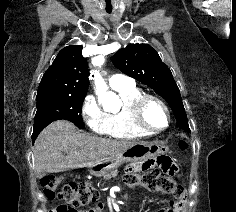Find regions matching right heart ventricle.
Segmentation results:
<instances>
[{"instance_id":"1","label":"right heart ventricle","mask_w":236,"mask_h":212,"mask_svg":"<svg viewBox=\"0 0 236 212\" xmlns=\"http://www.w3.org/2000/svg\"><path fill=\"white\" fill-rule=\"evenodd\" d=\"M114 90L122 100V107L117 112L106 113L105 135L114 139H137L151 135L136 127L131 117V104L142 91L134 83Z\"/></svg>"}]
</instances>
